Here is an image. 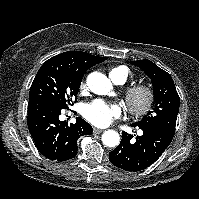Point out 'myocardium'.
<instances>
[{
    "instance_id": "obj_1",
    "label": "myocardium",
    "mask_w": 199,
    "mask_h": 199,
    "mask_svg": "<svg viewBox=\"0 0 199 199\" xmlns=\"http://www.w3.org/2000/svg\"><path fill=\"white\" fill-rule=\"evenodd\" d=\"M124 100L131 115L134 117H143L152 109L155 100V91L149 84H134L126 89Z\"/></svg>"
}]
</instances>
